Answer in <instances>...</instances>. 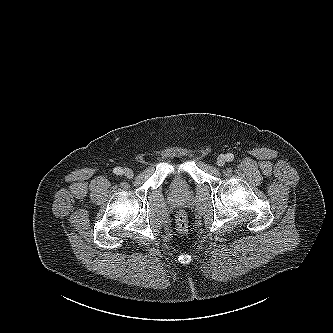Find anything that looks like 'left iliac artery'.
Masks as SVG:
<instances>
[{
  "label": "left iliac artery",
  "instance_id": "44dca946",
  "mask_svg": "<svg viewBox=\"0 0 333 333\" xmlns=\"http://www.w3.org/2000/svg\"><path fill=\"white\" fill-rule=\"evenodd\" d=\"M233 159H234V155H233L232 153H228V154L226 155V160H227L228 162L233 161Z\"/></svg>",
  "mask_w": 333,
  "mask_h": 333
}]
</instances>
